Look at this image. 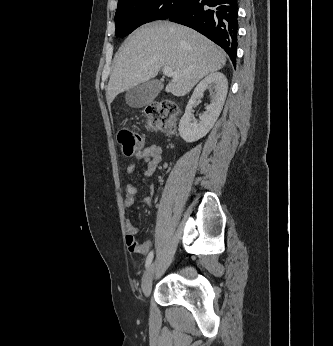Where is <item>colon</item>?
<instances>
[{"instance_id": "5ec220e1", "label": "colon", "mask_w": 333, "mask_h": 346, "mask_svg": "<svg viewBox=\"0 0 333 346\" xmlns=\"http://www.w3.org/2000/svg\"><path fill=\"white\" fill-rule=\"evenodd\" d=\"M179 113L176 103L163 100L147 105L144 109L146 126L149 130L172 133L175 129V118ZM118 143L125 155L131 156L144 146L143 136L129 129H121L117 135Z\"/></svg>"}]
</instances>
